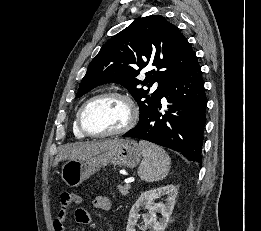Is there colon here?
<instances>
[{
  "label": "colon",
  "instance_id": "5ec220e1",
  "mask_svg": "<svg viewBox=\"0 0 261 231\" xmlns=\"http://www.w3.org/2000/svg\"><path fill=\"white\" fill-rule=\"evenodd\" d=\"M78 201V198L70 192H64L61 194V202L59 206V211L67 214L71 205Z\"/></svg>",
  "mask_w": 261,
  "mask_h": 231
}]
</instances>
